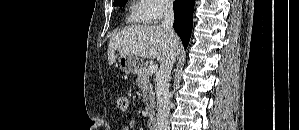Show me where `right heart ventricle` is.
<instances>
[{
  "label": "right heart ventricle",
  "instance_id": "obj_1",
  "mask_svg": "<svg viewBox=\"0 0 299 130\" xmlns=\"http://www.w3.org/2000/svg\"><path fill=\"white\" fill-rule=\"evenodd\" d=\"M128 19L131 22L142 23L145 22V10L142 2L135 3L130 11Z\"/></svg>",
  "mask_w": 299,
  "mask_h": 130
}]
</instances>
